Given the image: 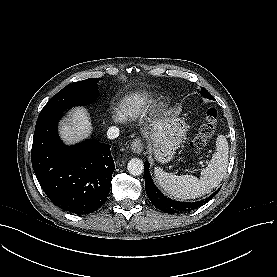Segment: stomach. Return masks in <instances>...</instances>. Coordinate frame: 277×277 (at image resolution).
<instances>
[{
	"label": "stomach",
	"mask_w": 277,
	"mask_h": 277,
	"mask_svg": "<svg viewBox=\"0 0 277 277\" xmlns=\"http://www.w3.org/2000/svg\"><path fill=\"white\" fill-rule=\"evenodd\" d=\"M186 135V123L169 112L152 124L147 132L149 153L160 163L170 162Z\"/></svg>",
	"instance_id": "obj_1"
}]
</instances>
